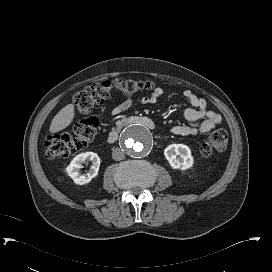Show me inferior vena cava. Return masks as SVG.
<instances>
[{"label":"inferior vena cava","instance_id":"obj_1","mask_svg":"<svg viewBox=\"0 0 272 272\" xmlns=\"http://www.w3.org/2000/svg\"><path fill=\"white\" fill-rule=\"evenodd\" d=\"M112 158L116 161H120L125 158V154L120 148H115L112 151Z\"/></svg>","mask_w":272,"mask_h":272}]
</instances>
